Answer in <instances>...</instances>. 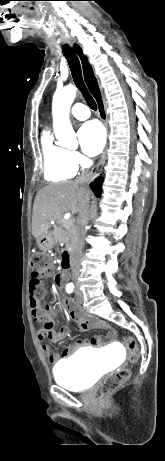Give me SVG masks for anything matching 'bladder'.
<instances>
[{
  "label": "bladder",
  "instance_id": "bladder-1",
  "mask_svg": "<svg viewBox=\"0 0 165 461\" xmlns=\"http://www.w3.org/2000/svg\"><path fill=\"white\" fill-rule=\"evenodd\" d=\"M91 354V352L80 351L58 362L53 368L55 381L75 391L91 387L106 370V360L91 359Z\"/></svg>",
  "mask_w": 165,
  "mask_h": 461
}]
</instances>
